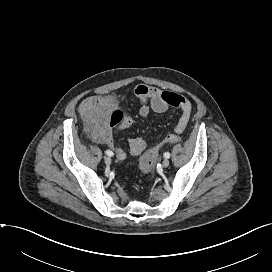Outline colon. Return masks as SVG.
I'll return each mask as SVG.
<instances>
[{
  "label": "colon",
  "instance_id": "1",
  "mask_svg": "<svg viewBox=\"0 0 272 272\" xmlns=\"http://www.w3.org/2000/svg\"><path fill=\"white\" fill-rule=\"evenodd\" d=\"M80 112L86 126L94 136H102L110 127L117 126L124 120L121 111L114 107L111 100L100 96L86 98L80 105ZM180 133L169 134L154 148L144 153L139 167L143 173H148L154 167L157 155L162 146L181 141Z\"/></svg>",
  "mask_w": 272,
  "mask_h": 272
}]
</instances>
